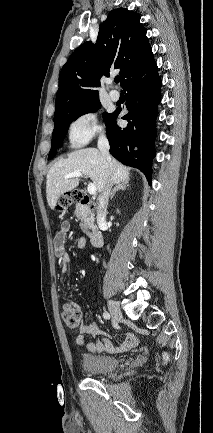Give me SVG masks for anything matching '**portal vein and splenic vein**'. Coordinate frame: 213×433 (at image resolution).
I'll list each match as a JSON object with an SVG mask.
<instances>
[{"mask_svg": "<svg viewBox=\"0 0 213 433\" xmlns=\"http://www.w3.org/2000/svg\"><path fill=\"white\" fill-rule=\"evenodd\" d=\"M83 177L81 172H72L64 176L65 179ZM88 193L94 195L97 191L96 186L93 183H89L87 187Z\"/></svg>", "mask_w": 213, "mask_h": 433, "instance_id": "portal-vein-and-splenic-vein-1", "label": "portal vein and splenic vein"}]
</instances>
